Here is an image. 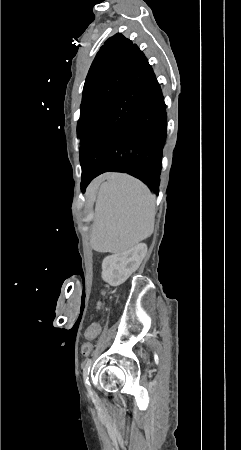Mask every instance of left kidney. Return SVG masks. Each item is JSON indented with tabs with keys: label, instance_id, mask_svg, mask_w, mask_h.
Segmentation results:
<instances>
[{
	"label": "left kidney",
	"instance_id": "1",
	"mask_svg": "<svg viewBox=\"0 0 241 450\" xmlns=\"http://www.w3.org/2000/svg\"><path fill=\"white\" fill-rule=\"evenodd\" d=\"M147 254L146 244H138L135 248L107 256L102 262V278L110 286H120L128 280L129 276L138 270L142 260Z\"/></svg>",
	"mask_w": 241,
	"mask_h": 450
}]
</instances>
